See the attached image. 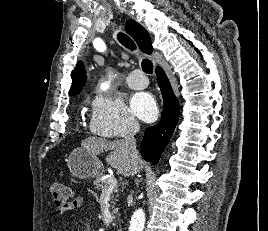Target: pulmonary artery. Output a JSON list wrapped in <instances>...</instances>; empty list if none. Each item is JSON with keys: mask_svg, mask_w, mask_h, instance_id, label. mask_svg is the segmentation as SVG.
<instances>
[{"mask_svg": "<svg viewBox=\"0 0 268 231\" xmlns=\"http://www.w3.org/2000/svg\"><path fill=\"white\" fill-rule=\"evenodd\" d=\"M126 81L128 86L135 90H142L148 85V79L139 69L131 71L126 78Z\"/></svg>", "mask_w": 268, "mask_h": 231, "instance_id": "1", "label": "pulmonary artery"}]
</instances>
